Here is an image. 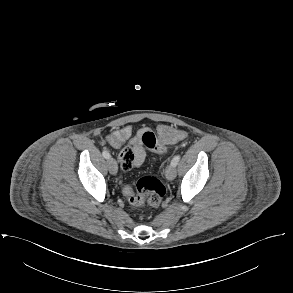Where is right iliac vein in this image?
<instances>
[{
    "label": "right iliac vein",
    "mask_w": 293,
    "mask_h": 293,
    "mask_svg": "<svg viewBox=\"0 0 293 293\" xmlns=\"http://www.w3.org/2000/svg\"><path fill=\"white\" fill-rule=\"evenodd\" d=\"M108 169L112 175H115L118 171L117 162L114 158H109L108 160Z\"/></svg>",
    "instance_id": "obj_1"
}]
</instances>
